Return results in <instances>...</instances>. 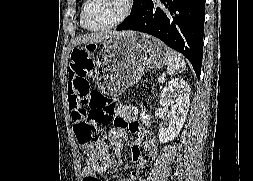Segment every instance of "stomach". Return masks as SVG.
Instances as JSON below:
<instances>
[{
	"instance_id": "1",
	"label": "stomach",
	"mask_w": 253,
	"mask_h": 181,
	"mask_svg": "<svg viewBox=\"0 0 253 181\" xmlns=\"http://www.w3.org/2000/svg\"><path fill=\"white\" fill-rule=\"evenodd\" d=\"M167 49L160 40L144 33L109 38L97 59L98 86L108 95H121L141 79L145 68L163 67Z\"/></svg>"
}]
</instances>
